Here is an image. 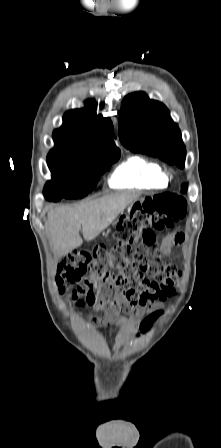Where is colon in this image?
Masks as SVG:
<instances>
[{"label": "colon", "mask_w": 221, "mask_h": 448, "mask_svg": "<svg viewBox=\"0 0 221 448\" xmlns=\"http://www.w3.org/2000/svg\"><path fill=\"white\" fill-rule=\"evenodd\" d=\"M186 209V200L170 193L137 203L129 218L119 220L117 246L77 250L64 259L57 276L60 291H65V284L78 282L71 298L78 306H91L102 289L117 286L132 306L144 309L172 296L181 272L158 250L156 231L182 220ZM148 325L149 320L143 328Z\"/></svg>", "instance_id": "colon-1"}]
</instances>
